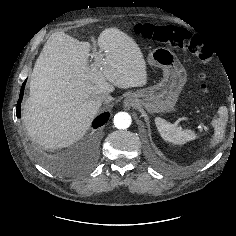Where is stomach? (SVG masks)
Here are the masks:
<instances>
[{
	"label": "stomach",
	"instance_id": "1",
	"mask_svg": "<svg viewBox=\"0 0 236 236\" xmlns=\"http://www.w3.org/2000/svg\"><path fill=\"white\" fill-rule=\"evenodd\" d=\"M148 63L163 70V78L157 84L137 90L125 101L134 104L149 113L169 112L178 99L186 82V70L174 52L159 47L148 55Z\"/></svg>",
	"mask_w": 236,
	"mask_h": 236
}]
</instances>
